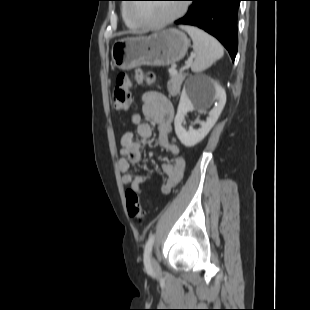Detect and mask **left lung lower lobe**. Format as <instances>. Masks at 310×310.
Wrapping results in <instances>:
<instances>
[{
	"instance_id": "obj_1",
	"label": "left lung lower lobe",
	"mask_w": 310,
	"mask_h": 310,
	"mask_svg": "<svg viewBox=\"0 0 310 310\" xmlns=\"http://www.w3.org/2000/svg\"><path fill=\"white\" fill-rule=\"evenodd\" d=\"M188 13L175 24L196 26L216 37L234 61L237 54V17L242 0H189Z\"/></svg>"
}]
</instances>
